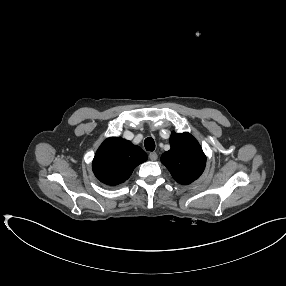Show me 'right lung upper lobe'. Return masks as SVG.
I'll list each match as a JSON object with an SVG mask.
<instances>
[{
	"mask_svg": "<svg viewBox=\"0 0 286 286\" xmlns=\"http://www.w3.org/2000/svg\"><path fill=\"white\" fill-rule=\"evenodd\" d=\"M147 159L139 146L121 137H110L98 148L92 167L102 183L115 186L126 181L135 167Z\"/></svg>",
	"mask_w": 286,
	"mask_h": 286,
	"instance_id": "1",
	"label": "right lung upper lobe"
}]
</instances>
